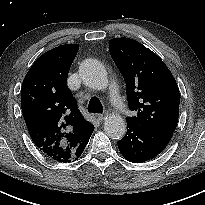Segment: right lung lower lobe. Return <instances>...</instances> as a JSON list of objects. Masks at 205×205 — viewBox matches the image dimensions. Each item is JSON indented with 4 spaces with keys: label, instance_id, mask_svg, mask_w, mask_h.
Returning a JSON list of instances; mask_svg holds the SVG:
<instances>
[{
    "label": "right lung lower lobe",
    "instance_id": "1",
    "mask_svg": "<svg viewBox=\"0 0 205 205\" xmlns=\"http://www.w3.org/2000/svg\"><path fill=\"white\" fill-rule=\"evenodd\" d=\"M90 136H91V135H90ZM90 136L87 137V138L77 147V149L75 150L74 160L78 159V158L81 156V154H82L84 148L86 147V145H87V143H88V141H89V139H90Z\"/></svg>",
    "mask_w": 205,
    "mask_h": 205
}]
</instances>
